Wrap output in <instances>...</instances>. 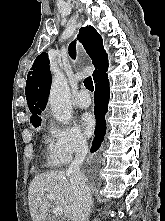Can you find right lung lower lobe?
I'll return each instance as SVG.
<instances>
[{
    "instance_id": "1",
    "label": "right lung lower lobe",
    "mask_w": 165,
    "mask_h": 221,
    "mask_svg": "<svg viewBox=\"0 0 165 221\" xmlns=\"http://www.w3.org/2000/svg\"><path fill=\"white\" fill-rule=\"evenodd\" d=\"M109 80L106 75L100 81L95 84V117H96V135L92 143L91 152H95L99 149L105 133H106V121L105 114L108 110V102H109Z\"/></svg>"
}]
</instances>
